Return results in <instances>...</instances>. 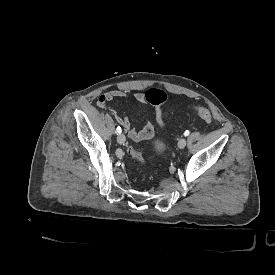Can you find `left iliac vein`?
Listing matches in <instances>:
<instances>
[{
    "mask_svg": "<svg viewBox=\"0 0 275 275\" xmlns=\"http://www.w3.org/2000/svg\"><path fill=\"white\" fill-rule=\"evenodd\" d=\"M186 144H187V140H186L185 138H182V139H180L179 142H178V147H179L180 149H183V148L186 146Z\"/></svg>",
    "mask_w": 275,
    "mask_h": 275,
    "instance_id": "left-iliac-vein-1",
    "label": "left iliac vein"
}]
</instances>
